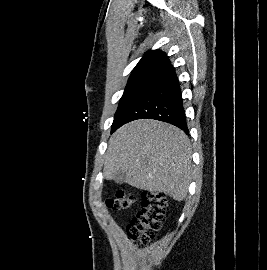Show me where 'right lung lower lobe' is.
<instances>
[{
  "label": "right lung lower lobe",
  "instance_id": "obj_1",
  "mask_svg": "<svg viewBox=\"0 0 267 270\" xmlns=\"http://www.w3.org/2000/svg\"><path fill=\"white\" fill-rule=\"evenodd\" d=\"M156 119L189 133L179 81L172 65L160 71L125 116L124 122ZM122 124V125H123Z\"/></svg>",
  "mask_w": 267,
  "mask_h": 270
}]
</instances>
